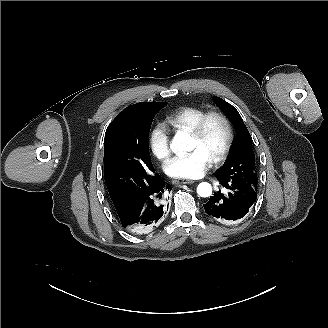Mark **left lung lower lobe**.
Segmentation results:
<instances>
[{
    "instance_id": "obj_1",
    "label": "left lung lower lobe",
    "mask_w": 328,
    "mask_h": 328,
    "mask_svg": "<svg viewBox=\"0 0 328 328\" xmlns=\"http://www.w3.org/2000/svg\"><path fill=\"white\" fill-rule=\"evenodd\" d=\"M220 184L228 190L214 192L204 204L205 212L219 222H232L243 218L257 198V183L243 180H228L218 176Z\"/></svg>"
}]
</instances>
